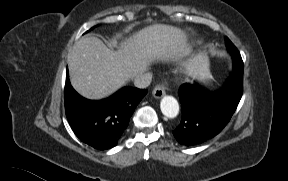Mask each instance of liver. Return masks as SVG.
Listing matches in <instances>:
<instances>
[{"mask_svg": "<svg viewBox=\"0 0 288 181\" xmlns=\"http://www.w3.org/2000/svg\"><path fill=\"white\" fill-rule=\"evenodd\" d=\"M187 35L178 27L153 24L121 41L117 51L100 39L85 36L68 54L70 80L83 97L98 100L124 86L156 61L178 60L189 55ZM190 73L207 74L197 57L184 63Z\"/></svg>", "mask_w": 288, "mask_h": 181, "instance_id": "liver-1", "label": "liver"}]
</instances>
